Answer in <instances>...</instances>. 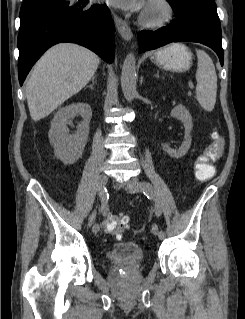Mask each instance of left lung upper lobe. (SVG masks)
I'll use <instances>...</instances> for the list:
<instances>
[{"instance_id": "obj_1", "label": "left lung upper lobe", "mask_w": 245, "mask_h": 319, "mask_svg": "<svg viewBox=\"0 0 245 319\" xmlns=\"http://www.w3.org/2000/svg\"><path fill=\"white\" fill-rule=\"evenodd\" d=\"M175 13L195 10L210 16L218 17L214 0H167Z\"/></svg>"}]
</instances>
